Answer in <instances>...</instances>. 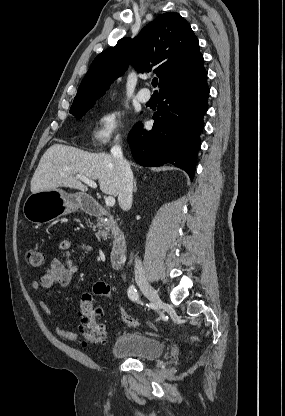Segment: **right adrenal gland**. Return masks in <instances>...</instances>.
Here are the masks:
<instances>
[{"label":"right adrenal gland","instance_id":"right-adrenal-gland-1","mask_svg":"<svg viewBox=\"0 0 285 416\" xmlns=\"http://www.w3.org/2000/svg\"><path fill=\"white\" fill-rule=\"evenodd\" d=\"M134 192H137V188H136V180H134Z\"/></svg>","mask_w":285,"mask_h":416}]
</instances>
